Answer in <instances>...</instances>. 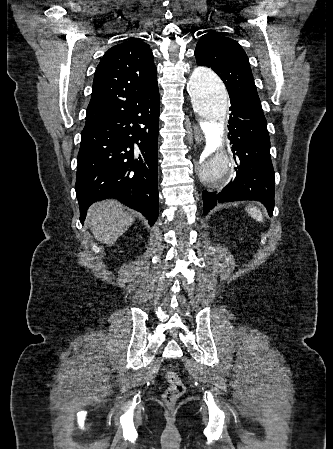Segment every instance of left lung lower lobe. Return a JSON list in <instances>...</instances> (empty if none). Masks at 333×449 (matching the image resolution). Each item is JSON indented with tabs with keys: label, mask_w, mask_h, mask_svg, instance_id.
<instances>
[{
	"label": "left lung lower lobe",
	"mask_w": 333,
	"mask_h": 449,
	"mask_svg": "<svg viewBox=\"0 0 333 449\" xmlns=\"http://www.w3.org/2000/svg\"><path fill=\"white\" fill-rule=\"evenodd\" d=\"M229 135L234 153L235 177L220 191H203V214L217 202L258 200L271 216L274 209V169L263 110L230 95Z\"/></svg>",
	"instance_id": "obj_1"
}]
</instances>
